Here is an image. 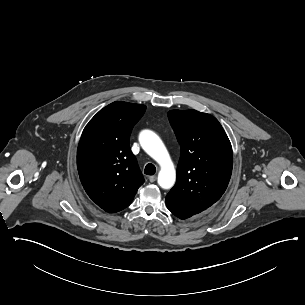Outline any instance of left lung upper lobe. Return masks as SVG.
<instances>
[{"instance_id": "obj_1", "label": "left lung upper lobe", "mask_w": 305, "mask_h": 305, "mask_svg": "<svg viewBox=\"0 0 305 305\" xmlns=\"http://www.w3.org/2000/svg\"><path fill=\"white\" fill-rule=\"evenodd\" d=\"M180 144L176 184L166 200L200 213L225 192L232 173L231 143L213 116L196 110L168 112Z\"/></svg>"}]
</instances>
